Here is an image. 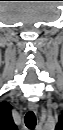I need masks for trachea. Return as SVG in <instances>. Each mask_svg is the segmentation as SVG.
Returning a JSON list of instances; mask_svg holds the SVG:
<instances>
[{"instance_id": "1", "label": "trachea", "mask_w": 63, "mask_h": 130, "mask_svg": "<svg viewBox=\"0 0 63 130\" xmlns=\"http://www.w3.org/2000/svg\"><path fill=\"white\" fill-rule=\"evenodd\" d=\"M25 125L28 129H34L36 126V116L33 111H28L24 117Z\"/></svg>"}]
</instances>
